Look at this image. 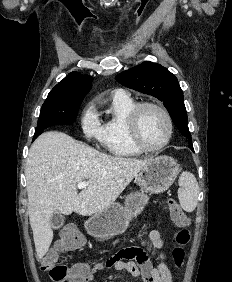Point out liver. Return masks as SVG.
<instances>
[{
    "label": "liver",
    "instance_id": "6515ba94",
    "mask_svg": "<svg viewBox=\"0 0 232 282\" xmlns=\"http://www.w3.org/2000/svg\"><path fill=\"white\" fill-rule=\"evenodd\" d=\"M150 159L103 154L60 131L40 135L32 144L26 166L28 214L39 259L53 240V213L90 216L119 197ZM88 187L77 192V183Z\"/></svg>",
    "mask_w": 232,
    "mask_h": 282
}]
</instances>
